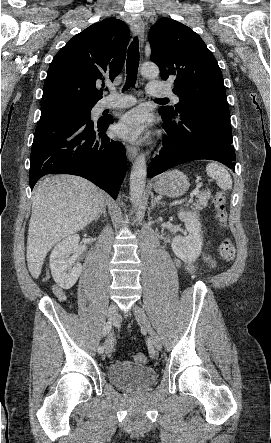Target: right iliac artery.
Returning <instances> with one entry per match:
<instances>
[{"label":"right iliac artery","mask_w":271,"mask_h":443,"mask_svg":"<svg viewBox=\"0 0 271 443\" xmlns=\"http://www.w3.org/2000/svg\"><path fill=\"white\" fill-rule=\"evenodd\" d=\"M112 329V321H108L103 330V336H107ZM98 352L102 354L104 352V346H99Z\"/></svg>","instance_id":"1"}]
</instances>
